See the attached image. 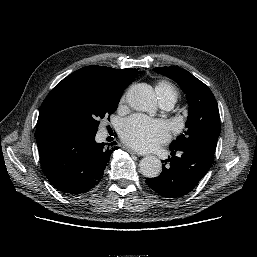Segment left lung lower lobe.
Segmentation results:
<instances>
[{
  "label": "left lung lower lobe",
  "instance_id": "left-lung-lower-lobe-1",
  "mask_svg": "<svg viewBox=\"0 0 257 257\" xmlns=\"http://www.w3.org/2000/svg\"><path fill=\"white\" fill-rule=\"evenodd\" d=\"M170 150L172 157L162 161L161 174L146 179V183L161 196L178 198L197 186L211 167L215 151L203 146L170 147Z\"/></svg>",
  "mask_w": 257,
  "mask_h": 257
}]
</instances>
